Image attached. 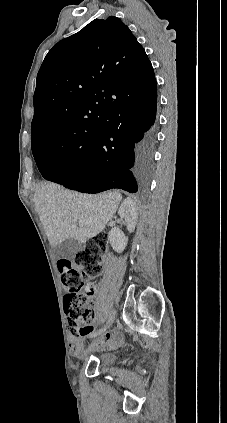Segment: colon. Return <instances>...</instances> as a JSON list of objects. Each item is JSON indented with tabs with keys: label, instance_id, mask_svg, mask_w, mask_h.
I'll list each match as a JSON object with an SVG mask.
<instances>
[{
	"label": "colon",
	"instance_id": "obj_1",
	"mask_svg": "<svg viewBox=\"0 0 227 423\" xmlns=\"http://www.w3.org/2000/svg\"><path fill=\"white\" fill-rule=\"evenodd\" d=\"M107 244V235L99 233L72 260L58 262L65 292L64 311L72 336L79 335L83 326L93 320L94 312L89 299L91 288L87 280L101 274Z\"/></svg>",
	"mask_w": 227,
	"mask_h": 423
}]
</instances>
